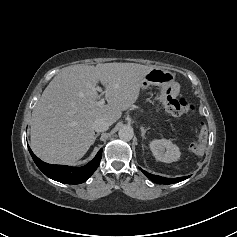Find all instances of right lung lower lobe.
Here are the masks:
<instances>
[{
	"label": "right lung lower lobe",
	"instance_id": "obj_1",
	"mask_svg": "<svg viewBox=\"0 0 237 237\" xmlns=\"http://www.w3.org/2000/svg\"><path fill=\"white\" fill-rule=\"evenodd\" d=\"M29 152L38 168L49 178L67 184H80L86 181L97 169L102 149L96 157L83 167H70L65 165H52L41 161L28 146Z\"/></svg>",
	"mask_w": 237,
	"mask_h": 237
}]
</instances>
